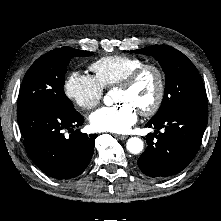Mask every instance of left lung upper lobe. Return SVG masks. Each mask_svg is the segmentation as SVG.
<instances>
[{"label":"left lung upper lobe","mask_w":221,"mask_h":221,"mask_svg":"<svg viewBox=\"0 0 221 221\" xmlns=\"http://www.w3.org/2000/svg\"><path fill=\"white\" fill-rule=\"evenodd\" d=\"M132 52L153 56L165 72L164 98L151 120L163 118L186 104L207 101L206 91L196 67L180 51L166 45H153Z\"/></svg>","instance_id":"left-lung-upper-lobe-1"}]
</instances>
